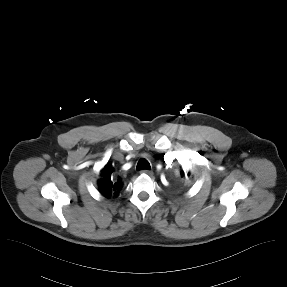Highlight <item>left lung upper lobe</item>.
Listing matches in <instances>:
<instances>
[{"instance_id": "left-lung-upper-lobe-1", "label": "left lung upper lobe", "mask_w": 287, "mask_h": 287, "mask_svg": "<svg viewBox=\"0 0 287 287\" xmlns=\"http://www.w3.org/2000/svg\"><path fill=\"white\" fill-rule=\"evenodd\" d=\"M181 176L183 177V172H181Z\"/></svg>"}]
</instances>
